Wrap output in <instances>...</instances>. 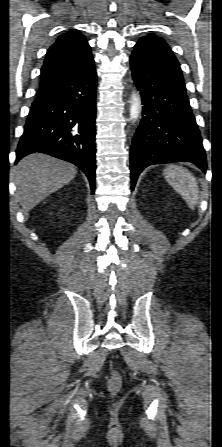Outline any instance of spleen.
Here are the masks:
<instances>
[{"mask_svg":"<svg viewBox=\"0 0 222 447\" xmlns=\"http://www.w3.org/2000/svg\"><path fill=\"white\" fill-rule=\"evenodd\" d=\"M164 177L187 205L194 210L199 199L196 178L187 169L178 165H168L164 169Z\"/></svg>","mask_w":222,"mask_h":447,"instance_id":"obj_1","label":"spleen"}]
</instances>
